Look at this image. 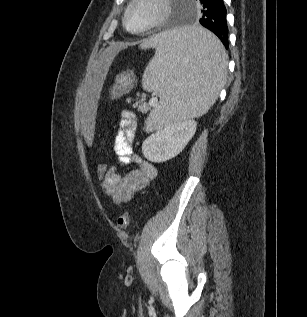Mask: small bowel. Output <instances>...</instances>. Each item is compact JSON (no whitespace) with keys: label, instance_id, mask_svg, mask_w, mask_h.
Returning a JSON list of instances; mask_svg holds the SVG:
<instances>
[{"label":"small bowel","instance_id":"c3829d8e","mask_svg":"<svg viewBox=\"0 0 307 317\" xmlns=\"http://www.w3.org/2000/svg\"><path fill=\"white\" fill-rule=\"evenodd\" d=\"M119 125L120 128L114 136V150L119 164L121 166L135 164L136 168L127 174H121L117 166H111L102 178L101 186L104 192L117 206L130 201L157 175L155 166L140 159L132 149L137 129L135 115L129 110H124Z\"/></svg>","mask_w":307,"mask_h":317}]
</instances>
